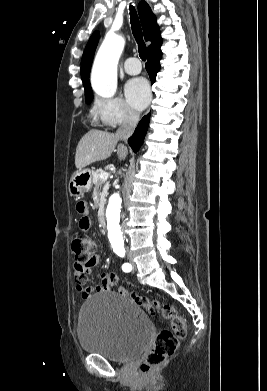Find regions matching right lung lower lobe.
<instances>
[{
	"label": "right lung lower lobe",
	"instance_id": "1",
	"mask_svg": "<svg viewBox=\"0 0 267 391\" xmlns=\"http://www.w3.org/2000/svg\"><path fill=\"white\" fill-rule=\"evenodd\" d=\"M162 52L160 49L148 54V61L146 63V70L150 76L151 83L156 80V74L160 70V59ZM150 119V113L142 118L139 122L134 134L129 138L128 143L134 152H137L143 143L148 124Z\"/></svg>",
	"mask_w": 267,
	"mask_h": 391
}]
</instances>
